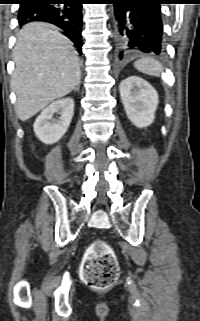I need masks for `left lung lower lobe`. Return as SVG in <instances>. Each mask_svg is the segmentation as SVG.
Segmentation results:
<instances>
[{
	"label": "left lung lower lobe",
	"mask_w": 200,
	"mask_h": 321,
	"mask_svg": "<svg viewBox=\"0 0 200 321\" xmlns=\"http://www.w3.org/2000/svg\"><path fill=\"white\" fill-rule=\"evenodd\" d=\"M165 0H113L119 57L163 52L161 7Z\"/></svg>",
	"instance_id": "left-lung-lower-lobe-1"
}]
</instances>
